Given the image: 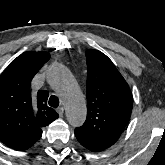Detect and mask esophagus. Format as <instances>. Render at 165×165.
<instances>
[{
  "mask_svg": "<svg viewBox=\"0 0 165 165\" xmlns=\"http://www.w3.org/2000/svg\"><path fill=\"white\" fill-rule=\"evenodd\" d=\"M57 112H58V114H59L60 116H62L63 113H64V108H63V107L58 108V109H57Z\"/></svg>",
  "mask_w": 165,
  "mask_h": 165,
  "instance_id": "1",
  "label": "esophagus"
}]
</instances>
